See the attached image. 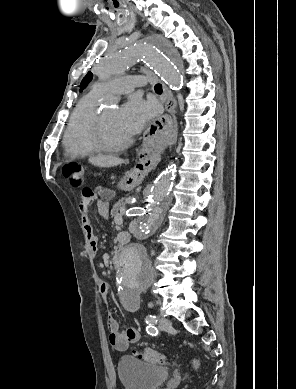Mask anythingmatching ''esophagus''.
<instances>
[{
  "mask_svg": "<svg viewBox=\"0 0 296 389\" xmlns=\"http://www.w3.org/2000/svg\"><path fill=\"white\" fill-rule=\"evenodd\" d=\"M163 92L165 98L164 116L161 120L156 121L151 119L150 126H146L143 130V135L146 139H164L166 131H171L176 121V100L174 99L171 90L163 84ZM154 145L158 144L157 140L153 141ZM138 163L135 168L140 169H157L162 161L163 155L160 150H151L147 146H143L139 153Z\"/></svg>",
  "mask_w": 296,
  "mask_h": 389,
  "instance_id": "obj_1",
  "label": "esophagus"
}]
</instances>
